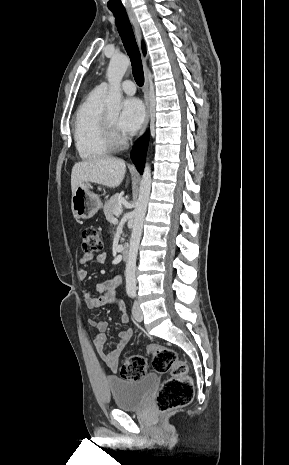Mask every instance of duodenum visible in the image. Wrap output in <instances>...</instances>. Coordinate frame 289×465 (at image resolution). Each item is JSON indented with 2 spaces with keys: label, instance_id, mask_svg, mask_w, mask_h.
<instances>
[{
  "label": "duodenum",
  "instance_id": "410a0bca",
  "mask_svg": "<svg viewBox=\"0 0 289 465\" xmlns=\"http://www.w3.org/2000/svg\"><path fill=\"white\" fill-rule=\"evenodd\" d=\"M129 256V246L124 245L121 249V257L123 260H126Z\"/></svg>",
  "mask_w": 289,
  "mask_h": 465
}]
</instances>
